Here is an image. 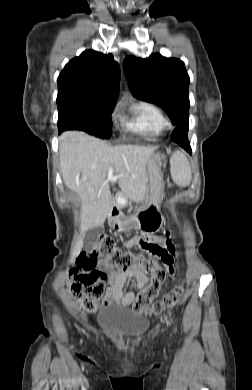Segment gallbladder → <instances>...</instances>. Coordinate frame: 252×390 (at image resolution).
Listing matches in <instances>:
<instances>
[{
    "mask_svg": "<svg viewBox=\"0 0 252 390\" xmlns=\"http://www.w3.org/2000/svg\"><path fill=\"white\" fill-rule=\"evenodd\" d=\"M102 230H103V226H97L89 229L85 235V244L88 245L91 243V241L95 240Z\"/></svg>",
    "mask_w": 252,
    "mask_h": 390,
    "instance_id": "obj_1",
    "label": "gallbladder"
}]
</instances>
